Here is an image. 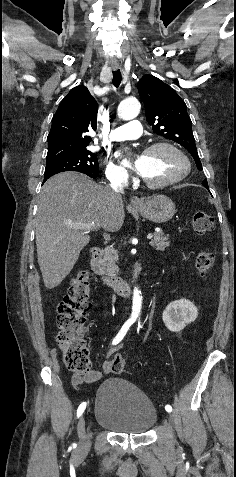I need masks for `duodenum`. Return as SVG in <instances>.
<instances>
[{"mask_svg":"<svg viewBox=\"0 0 236 477\" xmlns=\"http://www.w3.org/2000/svg\"><path fill=\"white\" fill-rule=\"evenodd\" d=\"M90 263L89 268L92 274L100 279L102 284L121 296H128L132 291L133 281L139 274V267L137 266L133 271L130 280H125L119 276L105 277L101 269V249L93 247L89 251Z\"/></svg>","mask_w":236,"mask_h":477,"instance_id":"410a0bca","label":"duodenum"}]
</instances>
